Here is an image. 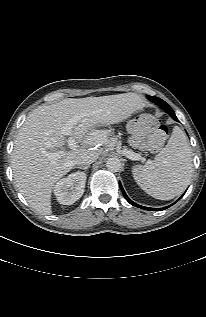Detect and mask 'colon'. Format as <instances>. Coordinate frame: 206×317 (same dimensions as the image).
I'll use <instances>...</instances> for the list:
<instances>
[{
	"mask_svg": "<svg viewBox=\"0 0 206 317\" xmlns=\"http://www.w3.org/2000/svg\"><path fill=\"white\" fill-rule=\"evenodd\" d=\"M138 123L151 132L148 145L152 150H157L168 135V127L149 114H142L138 119Z\"/></svg>",
	"mask_w": 206,
	"mask_h": 317,
	"instance_id": "obj_1",
	"label": "colon"
}]
</instances>
